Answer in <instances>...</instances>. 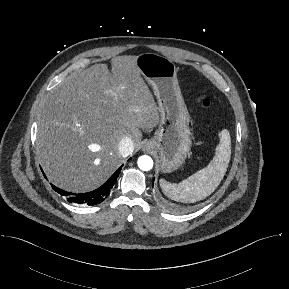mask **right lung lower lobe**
Returning <instances> with one entry per match:
<instances>
[{"label":"right lung lower lobe","instance_id":"98d812e1","mask_svg":"<svg viewBox=\"0 0 289 289\" xmlns=\"http://www.w3.org/2000/svg\"><path fill=\"white\" fill-rule=\"evenodd\" d=\"M121 169L122 166L101 187L91 192L74 194L61 190L54 185H52V188L60 195L66 196L67 201L70 203L87 204L93 206L104 200L114 186Z\"/></svg>","mask_w":289,"mask_h":289}]
</instances>
